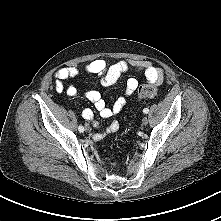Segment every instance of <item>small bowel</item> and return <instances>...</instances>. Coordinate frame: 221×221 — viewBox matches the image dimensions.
<instances>
[{"mask_svg":"<svg viewBox=\"0 0 221 221\" xmlns=\"http://www.w3.org/2000/svg\"><path fill=\"white\" fill-rule=\"evenodd\" d=\"M130 69L143 72L150 83L159 85L163 82L164 73L162 69L156 67L151 61L122 59L109 63L104 59H95L86 63L84 66L71 65L57 70L55 73V89L59 93L65 92L69 97L74 98L79 95L78 90L72 85L66 86V80L73 79L85 72L97 75L102 85L110 86L116 83L122 74ZM137 87V79L129 78L126 81L124 95L117 98L112 107L106 105L102 94L97 90H88L83 93V96L94 105L102 118L108 119L118 114L125 107L128 97L136 91ZM82 115L88 121L94 120V114L91 109H84ZM94 125L99 128V124L95 121ZM118 129L119 123L113 120L105 128H99V132L93 135V139L95 141L101 140Z\"/></svg>","mask_w":221,"mask_h":221,"instance_id":"obj_1","label":"small bowel"}]
</instances>
